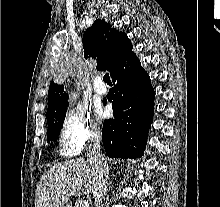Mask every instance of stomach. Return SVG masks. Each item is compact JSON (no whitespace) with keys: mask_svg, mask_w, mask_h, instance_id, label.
<instances>
[{"mask_svg":"<svg viewBox=\"0 0 220 207\" xmlns=\"http://www.w3.org/2000/svg\"><path fill=\"white\" fill-rule=\"evenodd\" d=\"M62 207H71V206H68V205H66V204H65V205H64V206H62Z\"/></svg>","mask_w":220,"mask_h":207,"instance_id":"stomach-1","label":"stomach"}]
</instances>
